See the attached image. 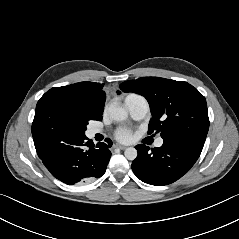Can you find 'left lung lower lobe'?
<instances>
[{
	"label": "left lung lower lobe",
	"mask_w": 239,
	"mask_h": 239,
	"mask_svg": "<svg viewBox=\"0 0 239 239\" xmlns=\"http://www.w3.org/2000/svg\"><path fill=\"white\" fill-rule=\"evenodd\" d=\"M132 163L134 174L143 182L162 186L186 174L199 158L202 149L175 139H164L159 148L139 144Z\"/></svg>",
	"instance_id": "left-lung-lower-lobe-1"
}]
</instances>
